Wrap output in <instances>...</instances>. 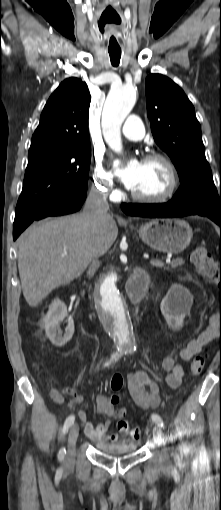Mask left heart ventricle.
<instances>
[{"label":"left heart ventricle","instance_id":"b2bd125f","mask_svg":"<svg viewBox=\"0 0 221 510\" xmlns=\"http://www.w3.org/2000/svg\"><path fill=\"white\" fill-rule=\"evenodd\" d=\"M168 171L160 161L142 162L138 182L133 192L145 196L161 194L168 185Z\"/></svg>","mask_w":221,"mask_h":510}]
</instances>
